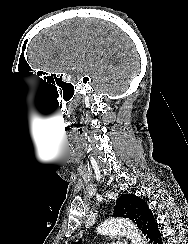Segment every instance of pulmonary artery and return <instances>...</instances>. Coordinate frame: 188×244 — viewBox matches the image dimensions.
I'll use <instances>...</instances> for the list:
<instances>
[{"label":"pulmonary artery","mask_w":188,"mask_h":244,"mask_svg":"<svg viewBox=\"0 0 188 244\" xmlns=\"http://www.w3.org/2000/svg\"><path fill=\"white\" fill-rule=\"evenodd\" d=\"M110 244H126V243H124V242H112Z\"/></svg>","instance_id":"1"}]
</instances>
